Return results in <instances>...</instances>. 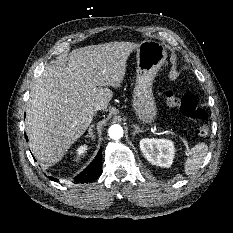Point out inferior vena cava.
I'll use <instances>...</instances> for the list:
<instances>
[{
	"label": "inferior vena cava",
	"instance_id": "obj_1",
	"mask_svg": "<svg viewBox=\"0 0 233 233\" xmlns=\"http://www.w3.org/2000/svg\"><path fill=\"white\" fill-rule=\"evenodd\" d=\"M99 110H100V107L94 108V112H97V111H99Z\"/></svg>",
	"mask_w": 233,
	"mask_h": 233
}]
</instances>
